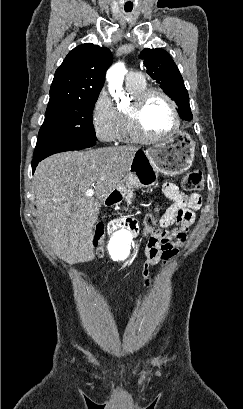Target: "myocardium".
<instances>
[{
	"label": "myocardium",
	"instance_id": "f54148a6",
	"mask_svg": "<svg viewBox=\"0 0 243 409\" xmlns=\"http://www.w3.org/2000/svg\"><path fill=\"white\" fill-rule=\"evenodd\" d=\"M153 95H159L165 99L170 106L174 121L172 127L167 132L159 135L148 134L143 127L141 119L143 108L148 99ZM125 116L133 138L139 142H155L164 139L174 134L181 125V118L176 102L165 91L159 88H147L136 95L129 108L125 111Z\"/></svg>",
	"mask_w": 243,
	"mask_h": 409
}]
</instances>
